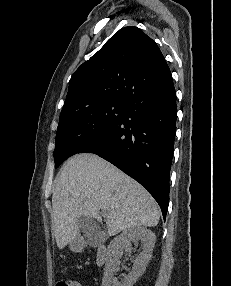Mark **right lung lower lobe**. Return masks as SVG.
<instances>
[{
	"mask_svg": "<svg viewBox=\"0 0 231 286\" xmlns=\"http://www.w3.org/2000/svg\"><path fill=\"white\" fill-rule=\"evenodd\" d=\"M124 103V115L78 153L97 154L134 178L154 197L165 218L177 119L171 75L133 90Z\"/></svg>",
	"mask_w": 231,
	"mask_h": 286,
	"instance_id": "98d812e1",
	"label": "right lung lower lobe"
}]
</instances>
